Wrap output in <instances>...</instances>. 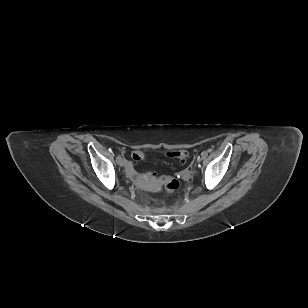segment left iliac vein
<instances>
[{"instance_id":"4c4485c4","label":"left iliac vein","mask_w":308,"mask_h":308,"mask_svg":"<svg viewBox=\"0 0 308 308\" xmlns=\"http://www.w3.org/2000/svg\"><path fill=\"white\" fill-rule=\"evenodd\" d=\"M202 159H203V157H198L197 161H198V162H201Z\"/></svg>"}]
</instances>
